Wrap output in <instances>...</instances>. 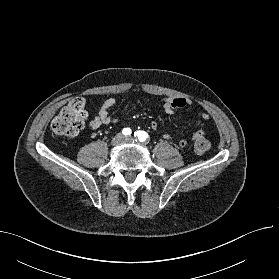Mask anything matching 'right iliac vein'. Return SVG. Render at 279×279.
<instances>
[{
  "label": "right iliac vein",
  "instance_id": "1",
  "mask_svg": "<svg viewBox=\"0 0 279 279\" xmlns=\"http://www.w3.org/2000/svg\"><path fill=\"white\" fill-rule=\"evenodd\" d=\"M123 140H124V136L121 133H119L113 137V139L111 140V145L116 146L120 144Z\"/></svg>",
  "mask_w": 279,
  "mask_h": 279
}]
</instances>
